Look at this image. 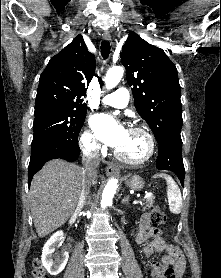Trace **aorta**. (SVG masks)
Returning a JSON list of instances; mask_svg holds the SVG:
<instances>
[{
    "instance_id": "762f6f07",
    "label": "aorta",
    "mask_w": 221,
    "mask_h": 278,
    "mask_svg": "<svg viewBox=\"0 0 221 278\" xmlns=\"http://www.w3.org/2000/svg\"><path fill=\"white\" fill-rule=\"evenodd\" d=\"M124 69L120 66H114L111 67L104 79L105 86L107 89H112L118 85L121 78L123 77ZM118 187V180L117 179H110L102 193V199H101V207L105 208L108 205L112 203V199L114 197V194L116 193V189Z\"/></svg>"
}]
</instances>
